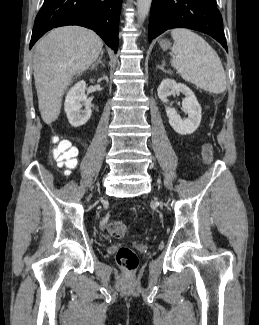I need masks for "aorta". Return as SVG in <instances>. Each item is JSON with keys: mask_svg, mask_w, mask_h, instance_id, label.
<instances>
[{"mask_svg": "<svg viewBox=\"0 0 259 325\" xmlns=\"http://www.w3.org/2000/svg\"><path fill=\"white\" fill-rule=\"evenodd\" d=\"M152 0H137V20L138 23H143L146 19Z\"/></svg>", "mask_w": 259, "mask_h": 325, "instance_id": "1", "label": "aorta"}]
</instances>
